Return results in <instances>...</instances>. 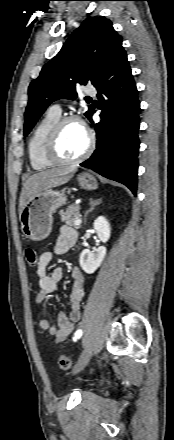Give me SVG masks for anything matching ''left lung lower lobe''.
<instances>
[{"instance_id": "obj_1", "label": "left lung lower lobe", "mask_w": 174, "mask_h": 440, "mask_svg": "<svg viewBox=\"0 0 174 440\" xmlns=\"http://www.w3.org/2000/svg\"><path fill=\"white\" fill-rule=\"evenodd\" d=\"M98 90L101 121L95 124L97 146L80 165L137 190L140 102L125 50L108 65ZM91 110L87 117L92 123Z\"/></svg>"}]
</instances>
